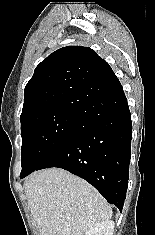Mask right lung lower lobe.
Returning a JSON list of instances; mask_svg holds the SVG:
<instances>
[{
	"instance_id": "obj_1",
	"label": "right lung lower lobe",
	"mask_w": 155,
	"mask_h": 235,
	"mask_svg": "<svg viewBox=\"0 0 155 235\" xmlns=\"http://www.w3.org/2000/svg\"><path fill=\"white\" fill-rule=\"evenodd\" d=\"M86 122L34 170L59 167L85 179L122 211L128 185L132 123L118 79L87 89Z\"/></svg>"
}]
</instances>
